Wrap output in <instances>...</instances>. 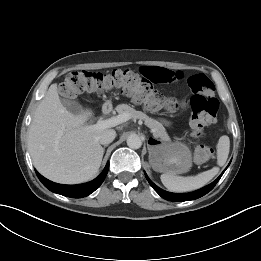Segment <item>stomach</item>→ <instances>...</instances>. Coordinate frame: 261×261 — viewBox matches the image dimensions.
<instances>
[{
  "label": "stomach",
  "instance_id": "stomach-1",
  "mask_svg": "<svg viewBox=\"0 0 261 261\" xmlns=\"http://www.w3.org/2000/svg\"><path fill=\"white\" fill-rule=\"evenodd\" d=\"M149 163L154 171L171 175L186 173L192 166V153L183 142L154 138L149 142Z\"/></svg>",
  "mask_w": 261,
  "mask_h": 261
}]
</instances>
